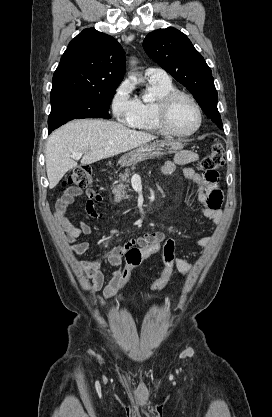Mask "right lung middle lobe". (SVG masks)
I'll return each instance as SVG.
<instances>
[{"mask_svg":"<svg viewBox=\"0 0 272 417\" xmlns=\"http://www.w3.org/2000/svg\"><path fill=\"white\" fill-rule=\"evenodd\" d=\"M116 88L106 91L60 92L51 94L49 133L75 118H105Z\"/></svg>","mask_w":272,"mask_h":417,"instance_id":"dd1d6c3e","label":"right lung middle lobe"}]
</instances>
